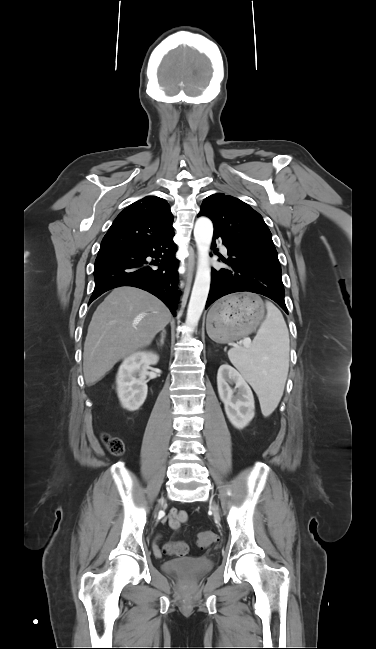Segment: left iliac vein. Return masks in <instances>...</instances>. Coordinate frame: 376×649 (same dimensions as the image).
<instances>
[{
  "label": "left iliac vein",
  "instance_id": "4c4485c4",
  "mask_svg": "<svg viewBox=\"0 0 376 649\" xmlns=\"http://www.w3.org/2000/svg\"><path fill=\"white\" fill-rule=\"evenodd\" d=\"M212 510H213L215 516L219 515L218 507L215 504L212 505Z\"/></svg>",
  "mask_w": 376,
  "mask_h": 649
}]
</instances>
